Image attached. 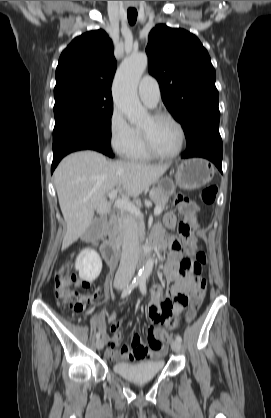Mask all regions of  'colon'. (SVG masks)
I'll list each match as a JSON object with an SVG mask.
<instances>
[{
	"label": "colon",
	"instance_id": "colon-1",
	"mask_svg": "<svg viewBox=\"0 0 271 418\" xmlns=\"http://www.w3.org/2000/svg\"><path fill=\"white\" fill-rule=\"evenodd\" d=\"M201 197L206 204L214 203L217 197V187L214 185L205 187ZM175 205L183 216V220L179 224V232L186 241L190 242L193 231L197 226L196 215L198 212V205L184 194H178L176 196ZM172 248L173 250L180 251L181 245L179 242L175 241L172 244ZM205 262L206 257L202 251H198L194 258L184 257L180 262L182 274H190L199 279L193 301V310L188 315L189 320L193 319L195 309L200 305L205 292V280L200 278L202 266ZM74 282V275L67 269L60 271L55 278V295L62 306L68 308L75 314H79L84 310V301L79 292L72 288Z\"/></svg>",
	"mask_w": 271,
	"mask_h": 418
}]
</instances>
